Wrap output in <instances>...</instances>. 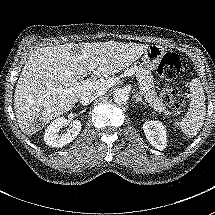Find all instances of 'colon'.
<instances>
[{
  "label": "colon",
  "instance_id": "colon-1",
  "mask_svg": "<svg viewBox=\"0 0 215 215\" xmlns=\"http://www.w3.org/2000/svg\"><path fill=\"white\" fill-rule=\"evenodd\" d=\"M180 70L181 59L178 54L173 52L164 55L158 67L161 100L173 109H182L185 107V96L177 88L166 85L164 81L176 79Z\"/></svg>",
  "mask_w": 215,
  "mask_h": 215
}]
</instances>
